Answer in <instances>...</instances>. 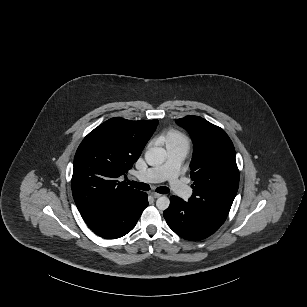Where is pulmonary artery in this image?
<instances>
[{
  "label": "pulmonary artery",
  "mask_w": 307,
  "mask_h": 307,
  "mask_svg": "<svg viewBox=\"0 0 307 307\" xmlns=\"http://www.w3.org/2000/svg\"><path fill=\"white\" fill-rule=\"evenodd\" d=\"M188 149H168V162L156 168H151L149 171L142 169L138 171L136 178L138 182L145 184L167 180V186L170 190L179 194L180 198L187 200L191 198L193 191L189 187L187 179L175 174L177 166L185 159Z\"/></svg>",
  "instance_id": "1"
}]
</instances>
